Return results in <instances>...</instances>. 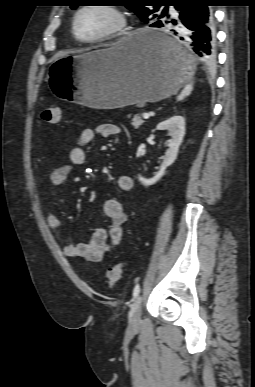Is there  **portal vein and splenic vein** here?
<instances>
[{"label": "portal vein and splenic vein", "instance_id": "obj_1", "mask_svg": "<svg viewBox=\"0 0 255 387\" xmlns=\"http://www.w3.org/2000/svg\"><path fill=\"white\" fill-rule=\"evenodd\" d=\"M149 117H150V114H149V113H144V114H143V118H144V119H149Z\"/></svg>", "mask_w": 255, "mask_h": 387}]
</instances>
